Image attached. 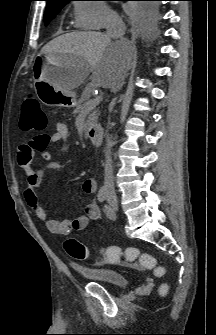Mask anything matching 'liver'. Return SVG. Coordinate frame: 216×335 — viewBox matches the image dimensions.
<instances>
[{"mask_svg":"<svg viewBox=\"0 0 216 335\" xmlns=\"http://www.w3.org/2000/svg\"><path fill=\"white\" fill-rule=\"evenodd\" d=\"M50 56L71 57L70 68L57 84L61 90L70 92L83 83L92 73L90 87L121 88V76L130 66L134 46L126 39L112 41L101 32L79 31L60 35L41 50Z\"/></svg>","mask_w":216,"mask_h":335,"instance_id":"1","label":"liver"}]
</instances>
